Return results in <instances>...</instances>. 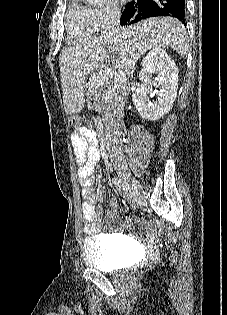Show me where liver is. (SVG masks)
Returning <instances> with one entry per match:
<instances>
[{
	"label": "liver",
	"instance_id": "6515ba94",
	"mask_svg": "<svg viewBox=\"0 0 227 315\" xmlns=\"http://www.w3.org/2000/svg\"><path fill=\"white\" fill-rule=\"evenodd\" d=\"M156 47H170L181 56L187 55L185 28L178 19L149 18L64 49L59 64L65 112L77 114L84 108L89 75L105 77L103 82L113 74L132 78L137 60Z\"/></svg>",
	"mask_w": 227,
	"mask_h": 315
}]
</instances>
